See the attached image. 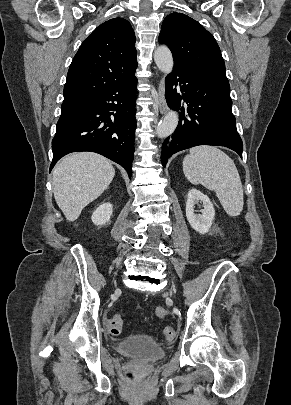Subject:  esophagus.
<instances>
[{"instance_id": "34e87169", "label": "esophagus", "mask_w": 291, "mask_h": 405, "mask_svg": "<svg viewBox=\"0 0 291 405\" xmlns=\"http://www.w3.org/2000/svg\"><path fill=\"white\" fill-rule=\"evenodd\" d=\"M156 107L161 114H164L168 110L167 102L165 99L164 82L160 80L158 84V96L155 101Z\"/></svg>"}]
</instances>
